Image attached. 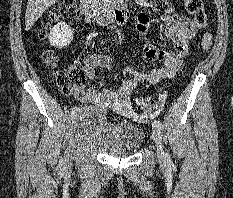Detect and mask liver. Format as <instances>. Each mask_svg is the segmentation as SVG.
Segmentation results:
<instances>
[{
  "label": "liver",
  "mask_w": 233,
  "mask_h": 198,
  "mask_svg": "<svg viewBox=\"0 0 233 198\" xmlns=\"http://www.w3.org/2000/svg\"><path fill=\"white\" fill-rule=\"evenodd\" d=\"M59 0H28L25 13V29L29 31L34 23L49 7Z\"/></svg>",
  "instance_id": "liver-1"
}]
</instances>
